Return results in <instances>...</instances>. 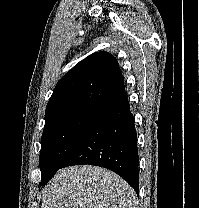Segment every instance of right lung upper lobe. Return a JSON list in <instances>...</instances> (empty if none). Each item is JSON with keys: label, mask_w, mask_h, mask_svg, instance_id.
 <instances>
[{"label": "right lung upper lobe", "mask_w": 199, "mask_h": 208, "mask_svg": "<svg viewBox=\"0 0 199 208\" xmlns=\"http://www.w3.org/2000/svg\"><path fill=\"white\" fill-rule=\"evenodd\" d=\"M124 92L116 58L107 52H96L60 79L47 104L45 119L74 108L101 107Z\"/></svg>", "instance_id": "obj_1"}]
</instances>
